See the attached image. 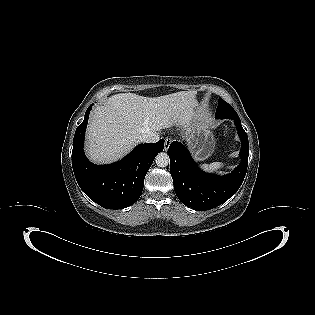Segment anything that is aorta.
Masks as SVG:
<instances>
[{
    "label": "aorta",
    "mask_w": 315,
    "mask_h": 315,
    "mask_svg": "<svg viewBox=\"0 0 315 315\" xmlns=\"http://www.w3.org/2000/svg\"><path fill=\"white\" fill-rule=\"evenodd\" d=\"M155 162L156 165L158 167H166L169 164V156L167 153L165 152H161L159 154H157L156 158H155Z\"/></svg>",
    "instance_id": "aorta-1"
}]
</instances>
